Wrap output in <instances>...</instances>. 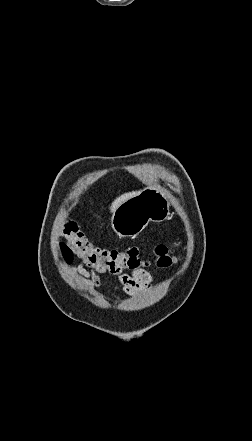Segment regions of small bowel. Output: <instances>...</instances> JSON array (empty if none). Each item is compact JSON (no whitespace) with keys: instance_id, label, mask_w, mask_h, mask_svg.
Returning <instances> with one entry per match:
<instances>
[{"instance_id":"obj_1","label":"small bowel","mask_w":252,"mask_h":441,"mask_svg":"<svg viewBox=\"0 0 252 441\" xmlns=\"http://www.w3.org/2000/svg\"><path fill=\"white\" fill-rule=\"evenodd\" d=\"M74 270L80 275L81 281L92 290L97 291L101 288V279L93 269L86 270L82 264H77L74 266ZM117 279L119 287L129 295L147 290L152 282L151 274L141 268L133 270L130 274H119Z\"/></svg>"}]
</instances>
